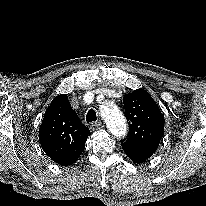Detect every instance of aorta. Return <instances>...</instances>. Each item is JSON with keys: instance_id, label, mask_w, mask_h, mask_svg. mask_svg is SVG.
<instances>
[{"instance_id": "762f6f07", "label": "aorta", "mask_w": 206, "mask_h": 206, "mask_svg": "<svg viewBox=\"0 0 206 206\" xmlns=\"http://www.w3.org/2000/svg\"><path fill=\"white\" fill-rule=\"evenodd\" d=\"M101 113L110 132L116 137H124L127 123L120 109L113 103H105L101 106Z\"/></svg>"}]
</instances>
